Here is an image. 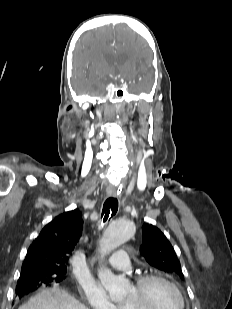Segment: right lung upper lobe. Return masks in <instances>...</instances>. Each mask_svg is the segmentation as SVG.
Listing matches in <instances>:
<instances>
[{
	"mask_svg": "<svg viewBox=\"0 0 232 309\" xmlns=\"http://www.w3.org/2000/svg\"><path fill=\"white\" fill-rule=\"evenodd\" d=\"M83 226L75 209L57 216L48 223L28 248L21 272L65 271L69 255L78 242Z\"/></svg>",
	"mask_w": 232,
	"mask_h": 309,
	"instance_id": "cb5924a9",
	"label": "right lung upper lobe"
}]
</instances>
